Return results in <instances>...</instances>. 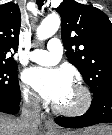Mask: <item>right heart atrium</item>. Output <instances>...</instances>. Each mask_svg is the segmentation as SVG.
<instances>
[{
  "mask_svg": "<svg viewBox=\"0 0 112 135\" xmlns=\"http://www.w3.org/2000/svg\"><path fill=\"white\" fill-rule=\"evenodd\" d=\"M21 95L23 102L30 107H37L40 104L39 97L30 90L27 86L23 85L21 88Z\"/></svg>",
  "mask_w": 112,
  "mask_h": 135,
  "instance_id": "d8ad5b80",
  "label": "right heart atrium"
}]
</instances>
